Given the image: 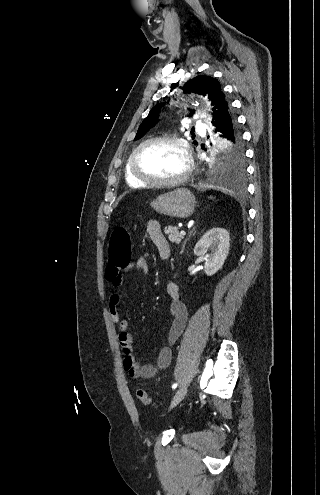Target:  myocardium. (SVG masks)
Wrapping results in <instances>:
<instances>
[{
  "instance_id": "obj_1",
  "label": "myocardium",
  "mask_w": 320,
  "mask_h": 495,
  "mask_svg": "<svg viewBox=\"0 0 320 495\" xmlns=\"http://www.w3.org/2000/svg\"><path fill=\"white\" fill-rule=\"evenodd\" d=\"M156 142H169L176 145L182 152L185 167L182 173L173 179H154L142 174L137 166V158L140 151L149 144ZM130 171L134 178L148 186H176L184 182L192 170V156L188 144L183 139L171 135H160L148 138L141 142L130 155Z\"/></svg>"
}]
</instances>
